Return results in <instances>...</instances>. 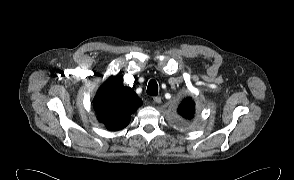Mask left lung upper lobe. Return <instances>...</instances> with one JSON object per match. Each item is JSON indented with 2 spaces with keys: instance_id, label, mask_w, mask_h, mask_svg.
<instances>
[{
  "instance_id": "1",
  "label": "left lung upper lobe",
  "mask_w": 294,
  "mask_h": 180,
  "mask_svg": "<svg viewBox=\"0 0 294 180\" xmlns=\"http://www.w3.org/2000/svg\"><path fill=\"white\" fill-rule=\"evenodd\" d=\"M178 114L185 119H192L195 114L194 102L191 98H186L178 107Z\"/></svg>"
}]
</instances>
